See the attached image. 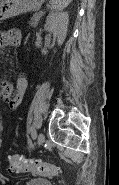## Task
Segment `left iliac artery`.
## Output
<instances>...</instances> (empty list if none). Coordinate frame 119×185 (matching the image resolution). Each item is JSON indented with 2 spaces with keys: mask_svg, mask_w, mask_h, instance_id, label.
<instances>
[{
  "mask_svg": "<svg viewBox=\"0 0 119 185\" xmlns=\"http://www.w3.org/2000/svg\"><path fill=\"white\" fill-rule=\"evenodd\" d=\"M31 134H32L33 139H35L37 136V133L34 129H31Z\"/></svg>",
  "mask_w": 119,
  "mask_h": 185,
  "instance_id": "1",
  "label": "left iliac artery"
}]
</instances>
